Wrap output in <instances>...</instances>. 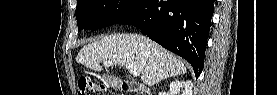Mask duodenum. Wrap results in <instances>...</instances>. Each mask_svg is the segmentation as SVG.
Returning a JSON list of instances; mask_svg holds the SVG:
<instances>
[{
  "label": "duodenum",
  "mask_w": 277,
  "mask_h": 95,
  "mask_svg": "<svg viewBox=\"0 0 277 95\" xmlns=\"http://www.w3.org/2000/svg\"><path fill=\"white\" fill-rule=\"evenodd\" d=\"M113 83L112 86H119L123 91L127 92V93H137V94H143L144 93V88L137 86L131 82H127L124 80H120V79H115L113 78Z\"/></svg>",
  "instance_id": "410a0bca"
}]
</instances>
